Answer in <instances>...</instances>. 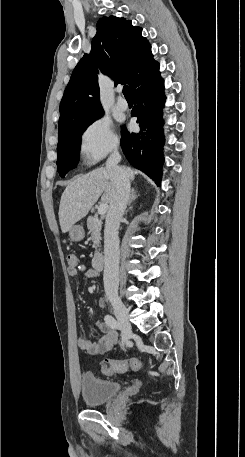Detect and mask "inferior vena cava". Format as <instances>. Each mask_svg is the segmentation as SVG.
Wrapping results in <instances>:
<instances>
[{"label": "inferior vena cava", "instance_id": "602c4592", "mask_svg": "<svg viewBox=\"0 0 245 457\" xmlns=\"http://www.w3.org/2000/svg\"><path fill=\"white\" fill-rule=\"evenodd\" d=\"M121 154L114 150L107 158L106 170L114 186V194L106 214L104 229V289L108 297L118 295L119 287V224L127 206L130 180L127 172L118 166Z\"/></svg>", "mask_w": 245, "mask_h": 457}]
</instances>
